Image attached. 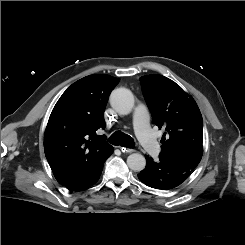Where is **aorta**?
<instances>
[{
  "instance_id": "aorta-1",
  "label": "aorta",
  "mask_w": 245,
  "mask_h": 245,
  "mask_svg": "<svg viewBox=\"0 0 245 245\" xmlns=\"http://www.w3.org/2000/svg\"><path fill=\"white\" fill-rule=\"evenodd\" d=\"M110 104L117 113L127 115L134 106L133 94L126 88L115 89L111 93ZM127 165L131 170L139 172L145 168L146 159L139 153H133L128 156Z\"/></svg>"
}]
</instances>
